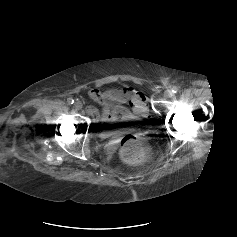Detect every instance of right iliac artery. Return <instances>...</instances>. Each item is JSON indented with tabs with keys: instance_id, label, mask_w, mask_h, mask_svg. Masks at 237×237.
<instances>
[{
	"instance_id": "right-iliac-artery-1",
	"label": "right iliac artery",
	"mask_w": 237,
	"mask_h": 237,
	"mask_svg": "<svg viewBox=\"0 0 237 237\" xmlns=\"http://www.w3.org/2000/svg\"><path fill=\"white\" fill-rule=\"evenodd\" d=\"M67 102H68L69 104H73V103H74V99H73V98H68Z\"/></svg>"
}]
</instances>
